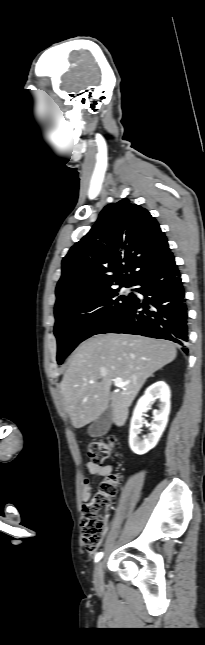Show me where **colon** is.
<instances>
[{
    "instance_id": "colon-1",
    "label": "colon",
    "mask_w": 205,
    "mask_h": 645,
    "mask_svg": "<svg viewBox=\"0 0 205 645\" xmlns=\"http://www.w3.org/2000/svg\"><path fill=\"white\" fill-rule=\"evenodd\" d=\"M114 444L98 440L88 445L87 453L91 463L103 465L110 457ZM118 476L109 475L97 491L82 506L81 537L88 552L96 551L102 543L108 521V511L117 492Z\"/></svg>"
}]
</instances>
